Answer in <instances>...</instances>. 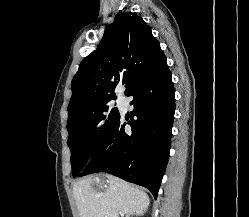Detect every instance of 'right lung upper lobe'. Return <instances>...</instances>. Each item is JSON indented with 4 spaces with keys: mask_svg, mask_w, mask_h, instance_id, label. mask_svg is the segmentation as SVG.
<instances>
[{
    "mask_svg": "<svg viewBox=\"0 0 249 217\" xmlns=\"http://www.w3.org/2000/svg\"><path fill=\"white\" fill-rule=\"evenodd\" d=\"M162 53L151 28L135 13H118L106 27L97 49L85 57L72 80L69 116L89 105L116 98L122 80L125 94Z\"/></svg>",
    "mask_w": 249,
    "mask_h": 217,
    "instance_id": "right-lung-upper-lobe-1",
    "label": "right lung upper lobe"
}]
</instances>
